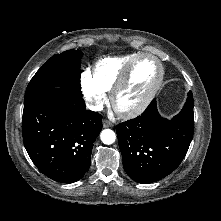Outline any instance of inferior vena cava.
<instances>
[{
	"label": "inferior vena cava",
	"mask_w": 221,
	"mask_h": 221,
	"mask_svg": "<svg viewBox=\"0 0 221 221\" xmlns=\"http://www.w3.org/2000/svg\"><path fill=\"white\" fill-rule=\"evenodd\" d=\"M87 107L92 111H101L103 109V106L101 104H96V105L87 104Z\"/></svg>",
	"instance_id": "1"
}]
</instances>
